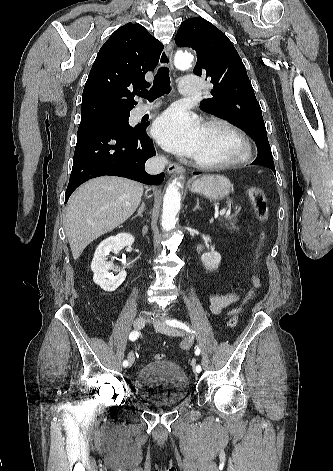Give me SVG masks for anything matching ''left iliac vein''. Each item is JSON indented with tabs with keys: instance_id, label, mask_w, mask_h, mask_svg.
Wrapping results in <instances>:
<instances>
[{
	"instance_id": "4c4485c4",
	"label": "left iliac vein",
	"mask_w": 333,
	"mask_h": 471,
	"mask_svg": "<svg viewBox=\"0 0 333 471\" xmlns=\"http://www.w3.org/2000/svg\"><path fill=\"white\" fill-rule=\"evenodd\" d=\"M154 327L157 331L169 336H181L183 334L181 330L159 320L154 322ZM194 372L197 373L196 370H194Z\"/></svg>"
}]
</instances>
